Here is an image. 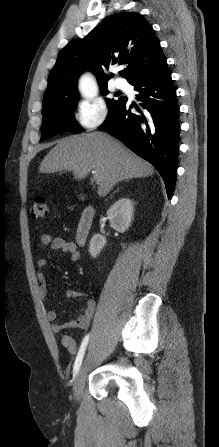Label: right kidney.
<instances>
[{
  "label": "right kidney",
  "mask_w": 219,
  "mask_h": 447,
  "mask_svg": "<svg viewBox=\"0 0 219 447\" xmlns=\"http://www.w3.org/2000/svg\"><path fill=\"white\" fill-rule=\"evenodd\" d=\"M133 213V201L129 198H121L107 210V218L114 230L124 233L131 226ZM106 242L107 240L103 235L94 234L89 243L90 255L96 258L106 245Z\"/></svg>",
  "instance_id": "obj_1"
}]
</instances>
